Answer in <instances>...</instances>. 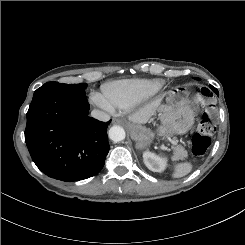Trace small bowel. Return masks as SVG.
Listing matches in <instances>:
<instances>
[{
	"label": "small bowel",
	"mask_w": 245,
	"mask_h": 245,
	"mask_svg": "<svg viewBox=\"0 0 245 245\" xmlns=\"http://www.w3.org/2000/svg\"><path fill=\"white\" fill-rule=\"evenodd\" d=\"M188 99L192 105L196 106L201 103L209 110L213 109L218 102V96L214 90L200 86H193L190 88Z\"/></svg>",
	"instance_id": "small-bowel-1"
}]
</instances>
